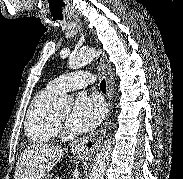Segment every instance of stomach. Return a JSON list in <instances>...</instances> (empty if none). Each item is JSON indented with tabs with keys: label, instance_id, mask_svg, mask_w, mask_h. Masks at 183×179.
<instances>
[{
	"label": "stomach",
	"instance_id": "obj_1",
	"mask_svg": "<svg viewBox=\"0 0 183 179\" xmlns=\"http://www.w3.org/2000/svg\"><path fill=\"white\" fill-rule=\"evenodd\" d=\"M75 155L80 158V159H83L86 157L85 153L84 152H79V151H75ZM44 179V178H43Z\"/></svg>",
	"mask_w": 183,
	"mask_h": 179
}]
</instances>
